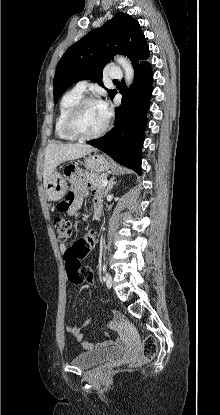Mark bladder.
<instances>
[{
	"label": "bladder",
	"instance_id": "obj_1",
	"mask_svg": "<svg viewBox=\"0 0 220 415\" xmlns=\"http://www.w3.org/2000/svg\"><path fill=\"white\" fill-rule=\"evenodd\" d=\"M124 351L123 347L89 350L76 355L71 360V364L81 369H89L120 358L124 354Z\"/></svg>",
	"mask_w": 220,
	"mask_h": 415
}]
</instances>
